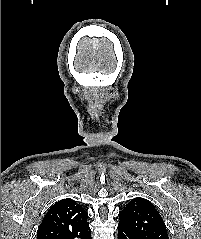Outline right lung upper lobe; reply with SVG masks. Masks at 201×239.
Listing matches in <instances>:
<instances>
[{
  "label": "right lung upper lobe",
  "instance_id": "obj_1",
  "mask_svg": "<svg viewBox=\"0 0 201 239\" xmlns=\"http://www.w3.org/2000/svg\"><path fill=\"white\" fill-rule=\"evenodd\" d=\"M88 213L74 200L56 202L46 213L37 239H89Z\"/></svg>",
  "mask_w": 201,
  "mask_h": 239
}]
</instances>
